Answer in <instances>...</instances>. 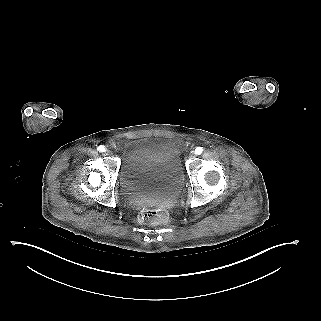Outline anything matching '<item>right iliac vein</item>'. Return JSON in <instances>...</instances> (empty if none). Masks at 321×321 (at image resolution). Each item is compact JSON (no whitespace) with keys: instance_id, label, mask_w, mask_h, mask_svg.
<instances>
[{"instance_id":"right-iliac-vein-1","label":"right iliac vein","mask_w":321,"mask_h":321,"mask_svg":"<svg viewBox=\"0 0 321 321\" xmlns=\"http://www.w3.org/2000/svg\"><path fill=\"white\" fill-rule=\"evenodd\" d=\"M105 155H107V156H111V155H112V153H111V151H110V150H108V149H107V150L105 151Z\"/></svg>"}]
</instances>
